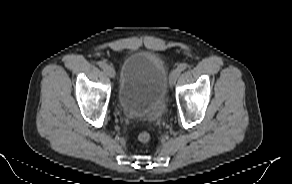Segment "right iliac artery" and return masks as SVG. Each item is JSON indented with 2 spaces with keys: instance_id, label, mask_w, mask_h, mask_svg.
<instances>
[{
  "instance_id": "right-iliac-artery-1",
  "label": "right iliac artery",
  "mask_w": 292,
  "mask_h": 184,
  "mask_svg": "<svg viewBox=\"0 0 292 184\" xmlns=\"http://www.w3.org/2000/svg\"><path fill=\"white\" fill-rule=\"evenodd\" d=\"M99 67L101 68H105L107 66V64L104 61H99L98 62Z\"/></svg>"
}]
</instances>
